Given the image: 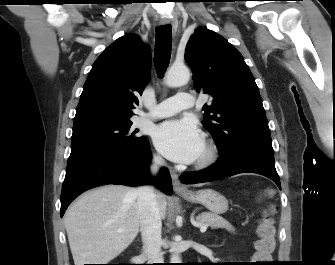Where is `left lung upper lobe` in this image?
Returning a JSON list of instances; mask_svg holds the SVG:
<instances>
[{
  "mask_svg": "<svg viewBox=\"0 0 335 265\" xmlns=\"http://www.w3.org/2000/svg\"><path fill=\"white\" fill-rule=\"evenodd\" d=\"M185 60L196 91L211 96V103L202 108L203 124L219 154L240 147L273 154L262 99L240 52L214 31L198 28L188 41Z\"/></svg>",
  "mask_w": 335,
  "mask_h": 265,
  "instance_id": "1",
  "label": "left lung upper lobe"
}]
</instances>
